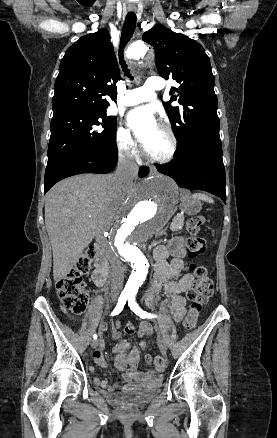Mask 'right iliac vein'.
<instances>
[{"label":"right iliac vein","instance_id":"63e3f726","mask_svg":"<svg viewBox=\"0 0 277 438\" xmlns=\"http://www.w3.org/2000/svg\"><path fill=\"white\" fill-rule=\"evenodd\" d=\"M98 344H99V340H92L91 347L96 348L98 346Z\"/></svg>","mask_w":277,"mask_h":438}]
</instances>
